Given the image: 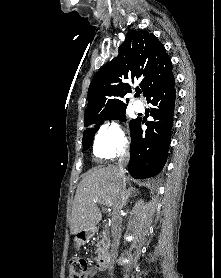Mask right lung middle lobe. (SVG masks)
Segmentation results:
<instances>
[{"label": "right lung middle lobe", "mask_w": 221, "mask_h": 278, "mask_svg": "<svg viewBox=\"0 0 221 278\" xmlns=\"http://www.w3.org/2000/svg\"><path fill=\"white\" fill-rule=\"evenodd\" d=\"M125 110L126 109L115 112V113L100 116V117L96 118L93 122L85 124V127H88L90 125H94V127L86 128L84 130L83 140H82L83 150H87L90 147V145L92 144L95 132L98 130L99 125L103 124L105 120L118 119V120L126 121ZM133 122L134 121H131L130 126L132 125Z\"/></svg>", "instance_id": "dd1d6c3e"}]
</instances>
